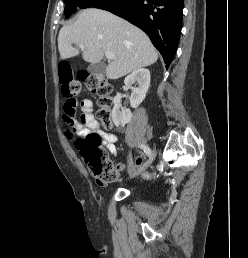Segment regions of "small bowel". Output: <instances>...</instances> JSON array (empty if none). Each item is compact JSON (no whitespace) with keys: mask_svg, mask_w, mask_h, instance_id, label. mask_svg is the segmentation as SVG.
Returning a JSON list of instances; mask_svg holds the SVG:
<instances>
[{"mask_svg":"<svg viewBox=\"0 0 248 258\" xmlns=\"http://www.w3.org/2000/svg\"><path fill=\"white\" fill-rule=\"evenodd\" d=\"M80 109L81 114L79 120L73 119L71 122H66L67 128L68 126H73L76 129V132L80 133L81 135H85L89 132H96L98 133L108 151L112 154L117 153V148L115 143L117 141V136L113 133H107L100 129L99 122L95 118L93 114V102L90 99H83L80 101ZM125 168L124 164L119 163L117 165L118 170H123ZM96 185H101V180L95 181Z\"/></svg>","mask_w":248,"mask_h":258,"instance_id":"small-bowel-1","label":"small bowel"}]
</instances>
